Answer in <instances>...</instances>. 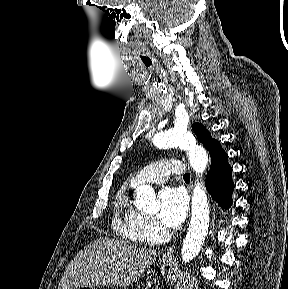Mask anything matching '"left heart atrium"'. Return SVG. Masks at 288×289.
<instances>
[{"label": "left heart atrium", "instance_id": "obj_1", "mask_svg": "<svg viewBox=\"0 0 288 289\" xmlns=\"http://www.w3.org/2000/svg\"><path fill=\"white\" fill-rule=\"evenodd\" d=\"M158 219L169 228L178 227L187 213V197L176 187H165L159 193Z\"/></svg>", "mask_w": 288, "mask_h": 289}]
</instances>
